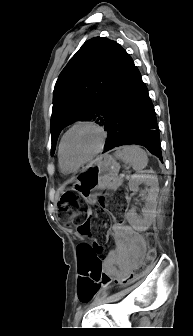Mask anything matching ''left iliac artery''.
<instances>
[{
    "label": "left iliac artery",
    "mask_w": 193,
    "mask_h": 336,
    "mask_svg": "<svg viewBox=\"0 0 193 336\" xmlns=\"http://www.w3.org/2000/svg\"><path fill=\"white\" fill-rule=\"evenodd\" d=\"M83 310L81 307H79L77 309V312L75 314V318H74V323L77 324V322L80 320L81 316H82Z\"/></svg>",
    "instance_id": "obj_1"
}]
</instances>
